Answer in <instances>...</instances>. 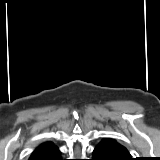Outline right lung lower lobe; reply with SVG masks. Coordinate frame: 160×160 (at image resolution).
Here are the masks:
<instances>
[{
    "label": "right lung lower lobe",
    "instance_id": "98d812e1",
    "mask_svg": "<svg viewBox=\"0 0 160 160\" xmlns=\"http://www.w3.org/2000/svg\"><path fill=\"white\" fill-rule=\"evenodd\" d=\"M29 160H62L61 152L59 151L57 146L43 152L39 155H36ZM65 160V159H64Z\"/></svg>",
    "mask_w": 160,
    "mask_h": 160
}]
</instances>
